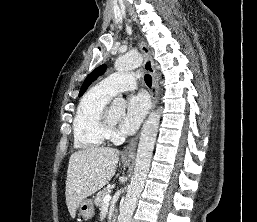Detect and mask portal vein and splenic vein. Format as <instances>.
Here are the masks:
<instances>
[{
	"instance_id": "1",
	"label": "portal vein and splenic vein",
	"mask_w": 257,
	"mask_h": 222,
	"mask_svg": "<svg viewBox=\"0 0 257 222\" xmlns=\"http://www.w3.org/2000/svg\"><path fill=\"white\" fill-rule=\"evenodd\" d=\"M110 200H111V196L110 195H106L104 197V205L102 207H107L109 205Z\"/></svg>"
}]
</instances>
